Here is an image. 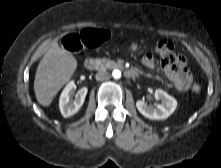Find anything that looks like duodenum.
I'll use <instances>...</instances> for the list:
<instances>
[{"mask_svg":"<svg viewBox=\"0 0 221 168\" xmlns=\"http://www.w3.org/2000/svg\"><path fill=\"white\" fill-rule=\"evenodd\" d=\"M84 66L88 70H95L97 68V61L92 57H87L84 60ZM124 75L127 78H134L137 76V71L134 69H126Z\"/></svg>","mask_w":221,"mask_h":168,"instance_id":"410a0bca","label":"duodenum"}]
</instances>
